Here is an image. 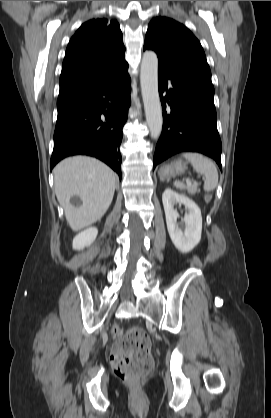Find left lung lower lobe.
<instances>
[{
  "instance_id": "left-lung-lower-lobe-1",
  "label": "left lung lower lobe",
  "mask_w": 271,
  "mask_h": 418,
  "mask_svg": "<svg viewBox=\"0 0 271 418\" xmlns=\"http://www.w3.org/2000/svg\"><path fill=\"white\" fill-rule=\"evenodd\" d=\"M158 87L163 129L153 158L154 168L176 153L189 151L213 158L222 169V145L216 125L212 83L159 63ZM166 102L170 106L168 109Z\"/></svg>"
}]
</instances>
